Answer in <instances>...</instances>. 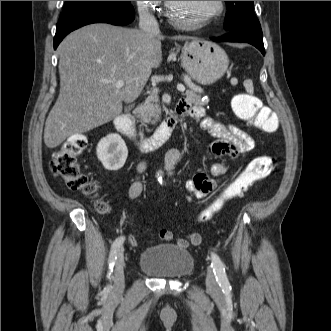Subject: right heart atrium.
Wrapping results in <instances>:
<instances>
[{
	"label": "right heart atrium",
	"mask_w": 331,
	"mask_h": 331,
	"mask_svg": "<svg viewBox=\"0 0 331 331\" xmlns=\"http://www.w3.org/2000/svg\"><path fill=\"white\" fill-rule=\"evenodd\" d=\"M161 1H136L141 19H155L159 16Z\"/></svg>",
	"instance_id": "1"
}]
</instances>
